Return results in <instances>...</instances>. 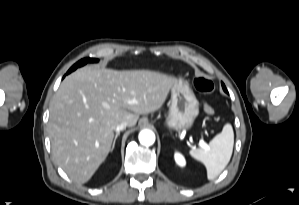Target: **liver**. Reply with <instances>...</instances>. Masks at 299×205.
<instances>
[{"mask_svg": "<svg viewBox=\"0 0 299 205\" xmlns=\"http://www.w3.org/2000/svg\"><path fill=\"white\" fill-rule=\"evenodd\" d=\"M178 82L149 70L77 69L50 103L48 133L57 164L83 184L107 158L118 124L136 125L140 114L162 107Z\"/></svg>", "mask_w": 299, "mask_h": 205, "instance_id": "6515ba94", "label": "liver"}]
</instances>
